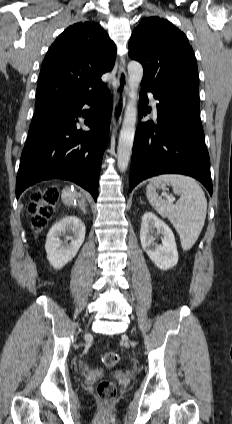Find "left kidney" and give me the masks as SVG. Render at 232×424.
<instances>
[{"label":"left kidney","mask_w":232,"mask_h":424,"mask_svg":"<svg viewBox=\"0 0 232 424\" xmlns=\"http://www.w3.org/2000/svg\"><path fill=\"white\" fill-rule=\"evenodd\" d=\"M157 230L163 238L160 245L154 242L152 234ZM140 242L152 262L161 270L174 267L178 262L175 237L169 226L154 213L147 212L142 217Z\"/></svg>","instance_id":"1"}]
</instances>
